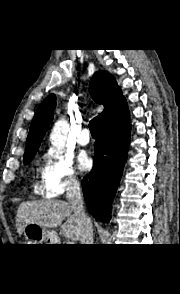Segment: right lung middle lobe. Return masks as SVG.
Instances as JSON below:
<instances>
[{"label":"right lung middle lobe","mask_w":180,"mask_h":294,"mask_svg":"<svg viewBox=\"0 0 180 294\" xmlns=\"http://www.w3.org/2000/svg\"><path fill=\"white\" fill-rule=\"evenodd\" d=\"M32 159H33V157H30V158L24 159V164H27V163L30 162Z\"/></svg>","instance_id":"right-lung-middle-lobe-1"}]
</instances>
